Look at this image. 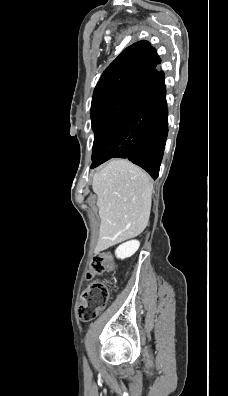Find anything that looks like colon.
Segmentation results:
<instances>
[{"mask_svg":"<svg viewBox=\"0 0 228 396\" xmlns=\"http://www.w3.org/2000/svg\"><path fill=\"white\" fill-rule=\"evenodd\" d=\"M115 262L109 253L95 254L89 264L86 279L92 280L95 276L114 267ZM110 298V292L102 281H93L84 290L79 305V317L82 321L93 320L104 309Z\"/></svg>","mask_w":228,"mask_h":396,"instance_id":"5ec220e1","label":"colon"}]
</instances>
